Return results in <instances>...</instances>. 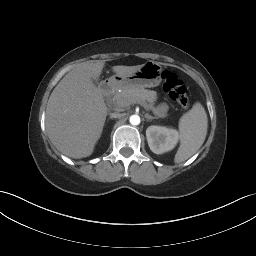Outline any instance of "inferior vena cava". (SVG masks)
<instances>
[{
	"instance_id": "inferior-vena-cava-1",
	"label": "inferior vena cava",
	"mask_w": 256,
	"mask_h": 256,
	"mask_svg": "<svg viewBox=\"0 0 256 256\" xmlns=\"http://www.w3.org/2000/svg\"><path fill=\"white\" fill-rule=\"evenodd\" d=\"M121 116H122V114L119 111L110 113V118H120Z\"/></svg>"
}]
</instances>
